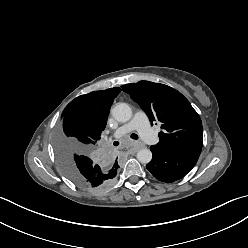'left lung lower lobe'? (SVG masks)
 Instances as JSON below:
<instances>
[{"instance_id":"obj_1","label":"left lung lower lobe","mask_w":248,"mask_h":248,"mask_svg":"<svg viewBox=\"0 0 248 248\" xmlns=\"http://www.w3.org/2000/svg\"><path fill=\"white\" fill-rule=\"evenodd\" d=\"M202 147L190 146L184 148L162 150L150 147L153 158L146 168L160 181L174 182L184 177L196 164Z\"/></svg>"}]
</instances>
